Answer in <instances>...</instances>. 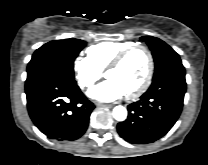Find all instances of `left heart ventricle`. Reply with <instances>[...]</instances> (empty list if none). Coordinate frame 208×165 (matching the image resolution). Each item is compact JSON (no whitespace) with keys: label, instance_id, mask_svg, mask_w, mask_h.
I'll use <instances>...</instances> for the list:
<instances>
[{"label":"left heart ventricle","instance_id":"obj_1","mask_svg":"<svg viewBox=\"0 0 208 165\" xmlns=\"http://www.w3.org/2000/svg\"><path fill=\"white\" fill-rule=\"evenodd\" d=\"M148 69V58L143 50H135L117 68L106 73L114 80L124 94L136 89L144 80Z\"/></svg>","mask_w":208,"mask_h":165}]
</instances>
